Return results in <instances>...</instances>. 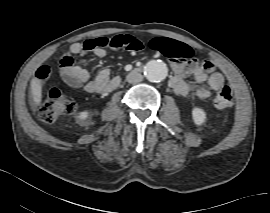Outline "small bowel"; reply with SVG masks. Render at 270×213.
Returning <instances> with one entry per match:
<instances>
[{"mask_svg":"<svg viewBox=\"0 0 270 213\" xmlns=\"http://www.w3.org/2000/svg\"><path fill=\"white\" fill-rule=\"evenodd\" d=\"M175 42V41H172ZM180 45L177 53L170 55V63L175 73L171 78L170 85L173 90L183 96H197L208 98L213 91L220 90L226 83L225 75L218 71H213L214 65L210 61L211 69L205 70L203 66L194 64L195 53L189 46L175 42ZM156 49L154 44H150ZM141 49L138 41L132 42L129 36L116 35L112 37H101L87 39L81 43H74L68 46L61 54V59L74 55L82 56L92 51L95 58L101 60L105 57L108 50H128L137 52ZM192 75L194 80L199 83L198 87L190 86L185 77ZM61 76L64 81L73 88H84L91 94L108 93L114 90L120 83V78L111 77L110 71L106 68L100 70L94 79L90 78L89 72L78 65L61 67Z\"/></svg>","mask_w":270,"mask_h":213,"instance_id":"1","label":"small bowel"}]
</instances>
